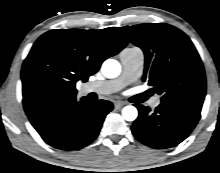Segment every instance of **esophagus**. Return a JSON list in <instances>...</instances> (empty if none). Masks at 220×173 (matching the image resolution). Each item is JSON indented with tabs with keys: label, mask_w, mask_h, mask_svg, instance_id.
<instances>
[{
	"label": "esophagus",
	"mask_w": 220,
	"mask_h": 173,
	"mask_svg": "<svg viewBox=\"0 0 220 173\" xmlns=\"http://www.w3.org/2000/svg\"><path fill=\"white\" fill-rule=\"evenodd\" d=\"M126 103L123 101H115L114 106L116 109H120L122 106H124Z\"/></svg>",
	"instance_id": "34e87169"
}]
</instances>
